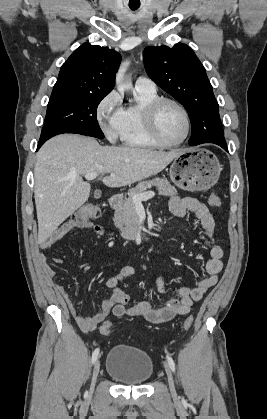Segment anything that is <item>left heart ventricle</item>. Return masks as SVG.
<instances>
[{
  "instance_id": "obj_1",
  "label": "left heart ventricle",
  "mask_w": 267,
  "mask_h": 419,
  "mask_svg": "<svg viewBox=\"0 0 267 419\" xmlns=\"http://www.w3.org/2000/svg\"><path fill=\"white\" fill-rule=\"evenodd\" d=\"M158 130L167 142L179 141L185 133V120L182 112L173 104H164L157 116Z\"/></svg>"
}]
</instances>
